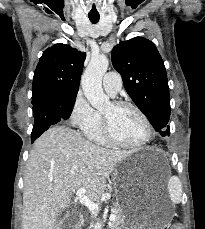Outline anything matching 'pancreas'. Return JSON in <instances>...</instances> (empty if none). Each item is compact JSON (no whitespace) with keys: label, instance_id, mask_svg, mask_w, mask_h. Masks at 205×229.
Here are the masks:
<instances>
[{"label":"pancreas","instance_id":"1","mask_svg":"<svg viewBox=\"0 0 205 229\" xmlns=\"http://www.w3.org/2000/svg\"><path fill=\"white\" fill-rule=\"evenodd\" d=\"M112 210L113 211L116 210L117 212L114 213L116 215V220L111 222L110 229H124L125 223H124V218L119 208V204L114 203Z\"/></svg>","mask_w":205,"mask_h":229}]
</instances>
